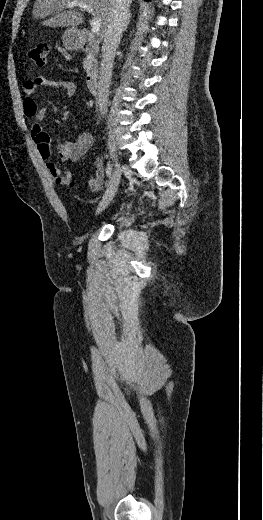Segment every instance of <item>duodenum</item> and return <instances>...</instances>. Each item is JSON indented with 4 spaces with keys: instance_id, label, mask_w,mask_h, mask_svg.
<instances>
[{
    "instance_id": "duodenum-1",
    "label": "duodenum",
    "mask_w": 263,
    "mask_h": 520,
    "mask_svg": "<svg viewBox=\"0 0 263 520\" xmlns=\"http://www.w3.org/2000/svg\"><path fill=\"white\" fill-rule=\"evenodd\" d=\"M80 46L83 51L88 53L92 58H94L99 48L88 31H83L80 36ZM86 87L91 94H96L98 90L99 84V68L96 63H92L86 72L85 77Z\"/></svg>"
}]
</instances>
